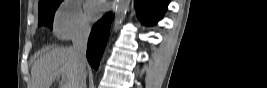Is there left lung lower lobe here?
<instances>
[{"label":"left lung lower lobe","instance_id":"0a47b994","mask_svg":"<svg viewBox=\"0 0 267 88\" xmlns=\"http://www.w3.org/2000/svg\"><path fill=\"white\" fill-rule=\"evenodd\" d=\"M169 0H135L137 14L145 24H156L167 10Z\"/></svg>","mask_w":267,"mask_h":88}]
</instances>
